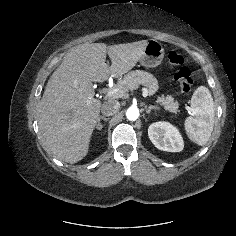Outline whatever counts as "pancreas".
<instances>
[{"instance_id":"cf45deb5","label":"pancreas","mask_w":236,"mask_h":236,"mask_svg":"<svg viewBox=\"0 0 236 236\" xmlns=\"http://www.w3.org/2000/svg\"><path fill=\"white\" fill-rule=\"evenodd\" d=\"M139 85L147 87L148 95L155 94L158 89L157 79L148 72L143 70H135L129 72L117 85L116 88H123L126 92L136 89ZM157 104L164 106L170 112L176 113L178 110V102L174 101L172 96L161 95L156 100Z\"/></svg>"}]
</instances>
